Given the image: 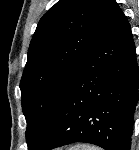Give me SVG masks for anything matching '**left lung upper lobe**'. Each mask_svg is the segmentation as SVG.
<instances>
[{
  "label": "left lung upper lobe",
  "instance_id": "obj_1",
  "mask_svg": "<svg viewBox=\"0 0 139 150\" xmlns=\"http://www.w3.org/2000/svg\"><path fill=\"white\" fill-rule=\"evenodd\" d=\"M115 0H59L40 19L21 78L26 141L35 146Z\"/></svg>",
  "mask_w": 139,
  "mask_h": 150
}]
</instances>
